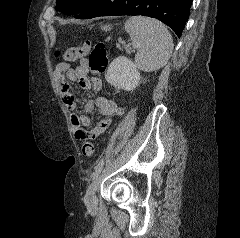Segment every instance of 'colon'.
Wrapping results in <instances>:
<instances>
[{
  "label": "colon",
  "mask_w": 240,
  "mask_h": 238,
  "mask_svg": "<svg viewBox=\"0 0 240 238\" xmlns=\"http://www.w3.org/2000/svg\"><path fill=\"white\" fill-rule=\"evenodd\" d=\"M56 56L59 57L60 53L56 52ZM88 56V66L93 74L96 76L101 75L107 67L108 58L107 50L103 43H96L94 45L91 42L86 41L79 47L68 48L63 54L62 58L65 61H75L80 58ZM90 138L89 135H84L83 139ZM95 148L90 140H85L82 145V153L87 157L94 155Z\"/></svg>",
  "instance_id": "5ec220e1"
}]
</instances>
